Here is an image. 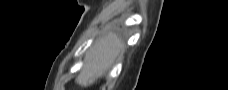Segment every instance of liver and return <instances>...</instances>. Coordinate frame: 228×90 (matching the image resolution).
<instances>
[{"instance_id":"obj_1","label":"liver","mask_w":228,"mask_h":90,"mask_svg":"<svg viewBox=\"0 0 228 90\" xmlns=\"http://www.w3.org/2000/svg\"><path fill=\"white\" fill-rule=\"evenodd\" d=\"M124 44L114 33L102 36L85 56V64L75 82L88 86L92 80L106 72L117 56L122 54Z\"/></svg>"}]
</instances>
